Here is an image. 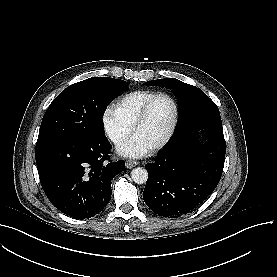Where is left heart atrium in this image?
I'll use <instances>...</instances> for the list:
<instances>
[{"mask_svg":"<svg viewBox=\"0 0 277 277\" xmlns=\"http://www.w3.org/2000/svg\"><path fill=\"white\" fill-rule=\"evenodd\" d=\"M119 152L135 158L143 157L147 154V144L139 137H128L119 146Z\"/></svg>","mask_w":277,"mask_h":277,"instance_id":"left-heart-atrium-1","label":"left heart atrium"}]
</instances>
